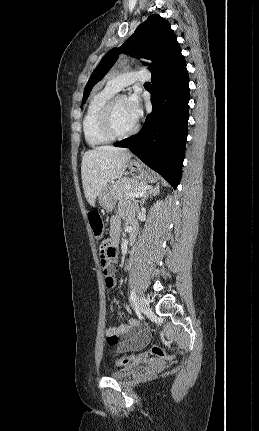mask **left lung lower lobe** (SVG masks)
Segmentation results:
<instances>
[{"mask_svg": "<svg viewBox=\"0 0 259 431\" xmlns=\"http://www.w3.org/2000/svg\"><path fill=\"white\" fill-rule=\"evenodd\" d=\"M151 74L152 112L138 134L114 145L129 148L176 188L182 174L189 118V77L177 41Z\"/></svg>", "mask_w": 259, "mask_h": 431, "instance_id": "left-lung-lower-lobe-1", "label": "left lung lower lobe"}]
</instances>
